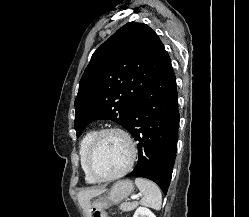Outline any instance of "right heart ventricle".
Instances as JSON below:
<instances>
[{"label":"right heart ventricle","mask_w":249,"mask_h":217,"mask_svg":"<svg viewBox=\"0 0 249 217\" xmlns=\"http://www.w3.org/2000/svg\"><path fill=\"white\" fill-rule=\"evenodd\" d=\"M98 133L96 129L88 130L82 137L79 143V159H80V166L84 174L85 181L87 183H97L95 179H93L87 171L86 168V155L88 152L89 145L95 135Z\"/></svg>","instance_id":"1"}]
</instances>
